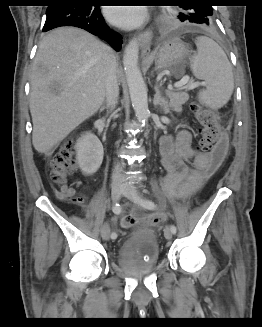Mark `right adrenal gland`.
Listing matches in <instances>:
<instances>
[{
  "instance_id": "right-adrenal-gland-1",
  "label": "right adrenal gland",
  "mask_w": 262,
  "mask_h": 327,
  "mask_svg": "<svg viewBox=\"0 0 262 327\" xmlns=\"http://www.w3.org/2000/svg\"><path fill=\"white\" fill-rule=\"evenodd\" d=\"M105 109H107V106H102V107L100 108V112L104 111Z\"/></svg>"
}]
</instances>
